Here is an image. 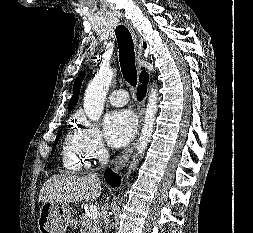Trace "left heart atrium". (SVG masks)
<instances>
[{
  "mask_svg": "<svg viewBox=\"0 0 253 233\" xmlns=\"http://www.w3.org/2000/svg\"><path fill=\"white\" fill-rule=\"evenodd\" d=\"M104 125L109 144L114 147H122L134 135L136 119L128 110L113 111L106 116Z\"/></svg>",
  "mask_w": 253,
  "mask_h": 233,
  "instance_id": "1",
  "label": "left heart atrium"
}]
</instances>
